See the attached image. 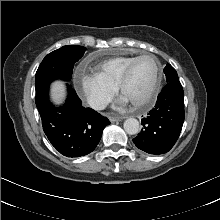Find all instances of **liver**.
I'll return each mask as SVG.
<instances>
[{
    "label": "liver",
    "mask_w": 220,
    "mask_h": 220,
    "mask_svg": "<svg viewBox=\"0 0 220 220\" xmlns=\"http://www.w3.org/2000/svg\"><path fill=\"white\" fill-rule=\"evenodd\" d=\"M65 97V84L62 81H55L51 84L52 101L59 104Z\"/></svg>",
    "instance_id": "liver-1"
}]
</instances>
